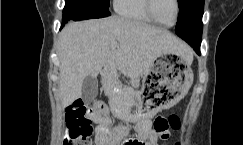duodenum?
<instances>
[{
    "mask_svg": "<svg viewBox=\"0 0 243 145\" xmlns=\"http://www.w3.org/2000/svg\"><path fill=\"white\" fill-rule=\"evenodd\" d=\"M102 76L104 77L105 83L110 84L113 80V70L111 66H104L102 68Z\"/></svg>",
    "mask_w": 243,
    "mask_h": 145,
    "instance_id": "duodenum-1",
    "label": "duodenum"
}]
</instances>
